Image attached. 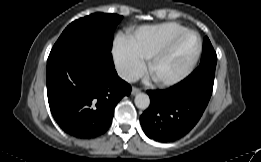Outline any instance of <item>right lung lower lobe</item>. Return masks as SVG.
I'll return each instance as SVG.
<instances>
[{"label": "right lung lower lobe", "instance_id": "98d812e1", "mask_svg": "<svg viewBox=\"0 0 261 162\" xmlns=\"http://www.w3.org/2000/svg\"><path fill=\"white\" fill-rule=\"evenodd\" d=\"M131 86L117 75L111 48L79 42L52 48L47 60V95L59 126L77 138H94L111 125L118 101Z\"/></svg>", "mask_w": 261, "mask_h": 162}]
</instances>
